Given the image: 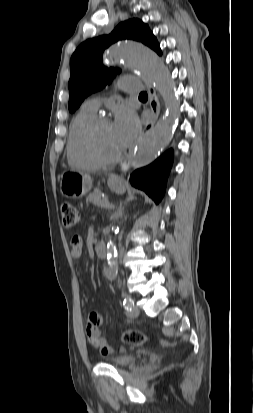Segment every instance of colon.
<instances>
[{
    "label": "colon",
    "instance_id": "5ec220e1",
    "mask_svg": "<svg viewBox=\"0 0 253 413\" xmlns=\"http://www.w3.org/2000/svg\"><path fill=\"white\" fill-rule=\"evenodd\" d=\"M62 223L65 227H73L78 222L77 208L68 202H63L60 207ZM72 251V250H71ZM121 340L127 344L140 345L148 340V336L138 330H127L121 334Z\"/></svg>",
    "mask_w": 253,
    "mask_h": 413
}]
</instances>
